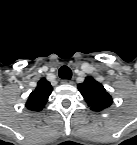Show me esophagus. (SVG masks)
Segmentation results:
<instances>
[{
    "label": "esophagus",
    "instance_id": "34e87169",
    "mask_svg": "<svg viewBox=\"0 0 137 145\" xmlns=\"http://www.w3.org/2000/svg\"><path fill=\"white\" fill-rule=\"evenodd\" d=\"M62 83L63 84L71 85V84H73V81L72 80H69V79H65V80H62Z\"/></svg>",
    "mask_w": 137,
    "mask_h": 145
}]
</instances>
